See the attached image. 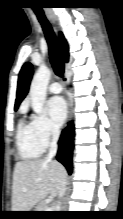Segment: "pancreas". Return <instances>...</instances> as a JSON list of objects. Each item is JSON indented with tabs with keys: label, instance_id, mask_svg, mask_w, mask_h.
I'll use <instances>...</instances> for the list:
<instances>
[{
	"label": "pancreas",
	"instance_id": "obj_1",
	"mask_svg": "<svg viewBox=\"0 0 123 219\" xmlns=\"http://www.w3.org/2000/svg\"><path fill=\"white\" fill-rule=\"evenodd\" d=\"M46 207L47 206L44 202H39L35 207L36 208L35 211H45Z\"/></svg>",
	"mask_w": 123,
	"mask_h": 219
}]
</instances>
